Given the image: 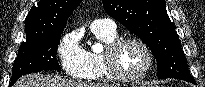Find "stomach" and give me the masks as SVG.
<instances>
[{
	"instance_id": "obj_1",
	"label": "stomach",
	"mask_w": 205,
	"mask_h": 87,
	"mask_svg": "<svg viewBox=\"0 0 205 87\" xmlns=\"http://www.w3.org/2000/svg\"><path fill=\"white\" fill-rule=\"evenodd\" d=\"M134 87H149V86H146V84H139L138 86L136 85V86H134Z\"/></svg>"
}]
</instances>
